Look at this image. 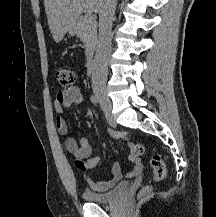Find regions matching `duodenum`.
Listing matches in <instances>:
<instances>
[{
	"instance_id": "410a0bca",
	"label": "duodenum",
	"mask_w": 216,
	"mask_h": 217,
	"mask_svg": "<svg viewBox=\"0 0 216 217\" xmlns=\"http://www.w3.org/2000/svg\"><path fill=\"white\" fill-rule=\"evenodd\" d=\"M95 65H96V62H95L94 55L90 54L89 60H88V70H87L89 74H92L94 72Z\"/></svg>"
}]
</instances>
